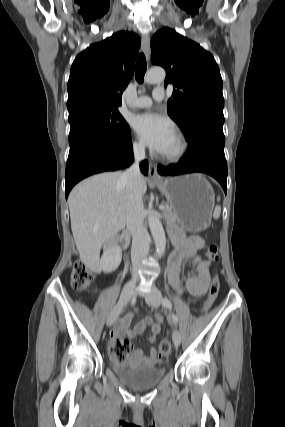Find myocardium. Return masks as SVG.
Listing matches in <instances>:
<instances>
[{
  "label": "myocardium",
  "instance_id": "obj_1",
  "mask_svg": "<svg viewBox=\"0 0 285 427\" xmlns=\"http://www.w3.org/2000/svg\"><path fill=\"white\" fill-rule=\"evenodd\" d=\"M174 135L177 139L178 146L174 152L160 155V159L165 162H176L180 160L188 150V141L184 134L180 131H175Z\"/></svg>",
  "mask_w": 285,
  "mask_h": 427
}]
</instances>
